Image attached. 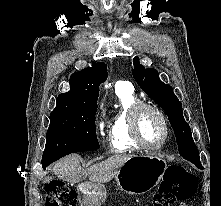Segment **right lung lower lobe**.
Segmentation results:
<instances>
[{
	"mask_svg": "<svg viewBox=\"0 0 221 206\" xmlns=\"http://www.w3.org/2000/svg\"><path fill=\"white\" fill-rule=\"evenodd\" d=\"M50 164V163H49ZM48 163L47 164H42L43 166V169H46V167L49 165Z\"/></svg>",
	"mask_w": 221,
	"mask_h": 206,
	"instance_id": "right-lung-lower-lobe-1",
	"label": "right lung lower lobe"
}]
</instances>
